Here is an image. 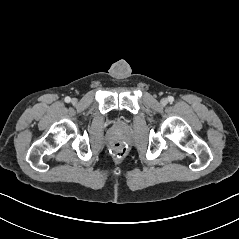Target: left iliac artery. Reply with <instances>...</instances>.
<instances>
[{
	"instance_id": "obj_1",
	"label": "left iliac artery",
	"mask_w": 239,
	"mask_h": 239,
	"mask_svg": "<svg viewBox=\"0 0 239 239\" xmlns=\"http://www.w3.org/2000/svg\"><path fill=\"white\" fill-rule=\"evenodd\" d=\"M168 101H169L170 103H172V102L174 101V97L169 96V97H168Z\"/></svg>"
}]
</instances>
